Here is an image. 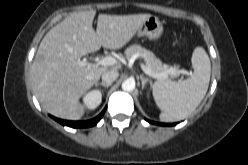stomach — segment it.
<instances>
[{"label":"stomach","instance_id":"obj_1","mask_svg":"<svg viewBox=\"0 0 248 165\" xmlns=\"http://www.w3.org/2000/svg\"><path fill=\"white\" fill-rule=\"evenodd\" d=\"M163 33V26L158 17L150 16L146 19L139 30L137 31V36H146L151 40H157L161 37Z\"/></svg>","mask_w":248,"mask_h":165}]
</instances>
